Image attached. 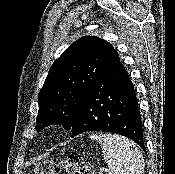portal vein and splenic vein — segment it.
Masks as SVG:
<instances>
[{"label":"portal vein and splenic vein","mask_w":175,"mask_h":174,"mask_svg":"<svg viewBox=\"0 0 175 174\" xmlns=\"http://www.w3.org/2000/svg\"><path fill=\"white\" fill-rule=\"evenodd\" d=\"M100 171H104V168H100Z\"/></svg>","instance_id":"18ae733b"}]
</instances>
